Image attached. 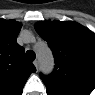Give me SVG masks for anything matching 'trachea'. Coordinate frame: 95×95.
<instances>
[{"instance_id":"3493384b","label":"trachea","mask_w":95,"mask_h":95,"mask_svg":"<svg viewBox=\"0 0 95 95\" xmlns=\"http://www.w3.org/2000/svg\"><path fill=\"white\" fill-rule=\"evenodd\" d=\"M26 58H27L29 61H34L35 58H36L35 52L32 51V50H28V51L26 52Z\"/></svg>"}]
</instances>
